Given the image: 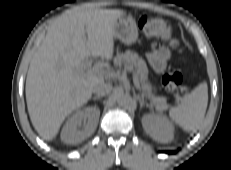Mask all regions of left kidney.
Returning <instances> with one entry per match:
<instances>
[{
    "mask_svg": "<svg viewBox=\"0 0 231 170\" xmlns=\"http://www.w3.org/2000/svg\"><path fill=\"white\" fill-rule=\"evenodd\" d=\"M142 126L147 134L161 143H168L174 138V126L165 116L145 114Z\"/></svg>",
    "mask_w": 231,
    "mask_h": 170,
    "instance_id": "obj_1",
    "label": "left kidney"
}]
</instances>
